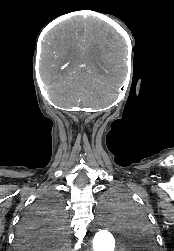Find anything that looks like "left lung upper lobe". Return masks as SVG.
Returning a JSON list of instances; mask_svg holds the SVG:
<instances>
[{
  "instance_id": "obj_1",
  "label": "left lung upper lobe",
  "mask_w": 174,
  "mask_h": 251,
  "mask_svg": "<svg viewBox=\"0 0 174 251\" xmlns=\"http://www.w3.org/2000/svg\"><path fill=\"white\" fill-rule=\"evenodd\" d=\"M124 202V211L127 222L132 227L129 236V245L133 251H156L157 243L150 225L148 224L145 216L136 211L134 206L130 203Z\"/></svg>"
}]
</instances>
